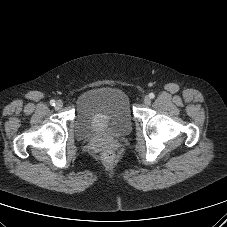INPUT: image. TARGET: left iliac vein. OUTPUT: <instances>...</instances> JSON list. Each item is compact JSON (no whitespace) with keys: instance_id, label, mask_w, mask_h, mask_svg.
Returning <instances> with one entry per match:
<instances>
[{"instance_id":"1","label":"left iliac vein","mask_w":227,"mask_h":227,"mask_svg":"<svg viewBox=\"0 0 227 227\" xmlns=\"http://www.w3.org/2000/svg\"><path fill=\"white\" fill-rule=\"evenodd\" d=\"M144 103H145L146 105H149V104L151 103V99H150L149 96H145V97H144Z\"/></svg>"}]
</instances>
